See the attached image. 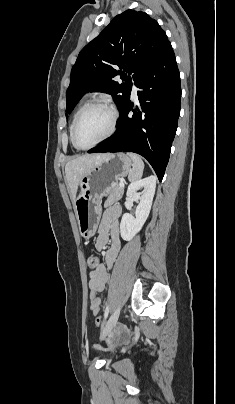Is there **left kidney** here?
<instances>
[{
    "label": "left kidney",
    "mask_w": 235,
    "mask_h": 404,
    "mask_svg": "<svg viewBox=\"0 0 235 404\" xmlns=\"http://www.w3.org/2000/svg\"><path fill=\"white\" fill-rule=\"evenodd\" d=\"M144 188L141 194L137 191ZM156 188V177L149 176L144 179L133 181L127 189V197L134 201H139L136 208L135 217L129 213H125L122 216L120 223L121 237L125 241H130L133 237L142 229L146 222Z\"/></svg>",
    "instance_id": "obj_1"
}]
</instances>
